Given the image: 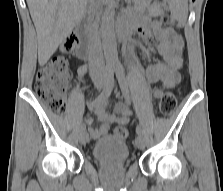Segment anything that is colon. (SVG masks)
<instances>
[{
  "instance_id": "colon-1",
  "label": "colon",
  "mask_w": 223,
  "mask_h": 191,
  "mask_svg": "<svg viewBox=\"0 0 223 191\" xmlns=\"http://www.w3.org/2000/svg\"><path fill=\"white\" fill-rule=\"evenodd\" d=\"M167 25H173L170 17H165ZM78 42L75 35L68 36L62 44L66 52L74 50ZM68 78V62L64 57H54L45 66L40 68L36 74L35 92L39 98L52 110L63 113L66 108V82ZM177 101L173 93L164 94L158 104V113L162 116L172 114L176 108ZM115 135L125 139L128 137V130L123 126L115 129Z\"/></svg>"
}]
</instances>
